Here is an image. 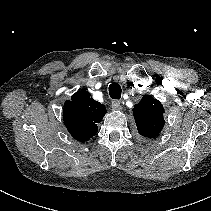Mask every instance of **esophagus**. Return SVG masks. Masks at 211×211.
<instances>
[{
    "label": "esophagus",
    "mask_w": 211,
    "mask_h": 211,
    "mask_svg": "<svg viewBox=\"0 0 211 211\" xmlns=\"http://www.w3.org/2000/svg\"><path fill=\"white\" fill-rule=\"evenodd\" d=\"M111 106L113 110H120L121 109V103L118 100H113L111 103Z\"/></svg>",
    "instance_id": "obj_1"
}]
</instances>
